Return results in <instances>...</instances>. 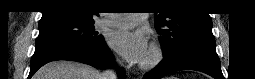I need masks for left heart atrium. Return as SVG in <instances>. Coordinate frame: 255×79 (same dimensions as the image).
<instances>
[{"mask_svg": "<svg viewBox=\"0 0 255 79\" xmlns=\"http://www.w3.org/2000/svg\"><path fill=\"white\" fill-rule=\"evenodd\" d=\"M113 47L129 62H142L148 53V40L139 30L121 29L111 37Z\"/></svg>", "mask_w": 255, "mask_h": 79, "instance_id": "1", "label": "left heart atrium"}]
</instances>
